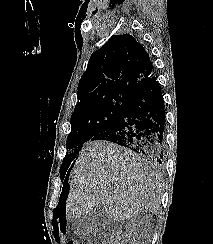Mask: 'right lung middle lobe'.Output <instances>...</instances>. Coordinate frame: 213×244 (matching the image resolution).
<instances>
[{
    "label": "right lung middle lobe",
    "instance_id": "1",
    "mask_svg": "<svg viewBox=\"0 0 213 244\" xmlns=\"http://www.w3.org/2000/svg\"><path fill=\"white\" fill-rule=\"evenodd\" d=\"M131 98L127 95H108L75 108L70 120L71 132L66 143L68 153L60 168L62 180L83 144L111 129Z\"/></svg>",
    "mask_w": 213,
    "mask_h": 244
}]
</instances>
